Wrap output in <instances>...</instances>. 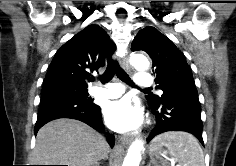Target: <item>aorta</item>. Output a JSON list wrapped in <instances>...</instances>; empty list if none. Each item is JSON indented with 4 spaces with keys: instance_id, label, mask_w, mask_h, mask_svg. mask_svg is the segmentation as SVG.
Instances as JSON below:
<instances>
[{
    "instance_id": "obj_1",
    "label": "aorta",
    "mask_w": 236,
    "mask_h": 166,
    "mask_svg": "<svg viewBox=\"0 0 236 166\" xmlns=\"http://www.w3.org/2000/svg\"><path fill=\"white\" fill-rule=\"evenodd\" d=\"M130 64L139 71H145L149 68L150 63L144 55L134 54L130 58ZM144 143L140 139H136L129 147L122 166H139Z\"/></svg>"
}]
</instances>
